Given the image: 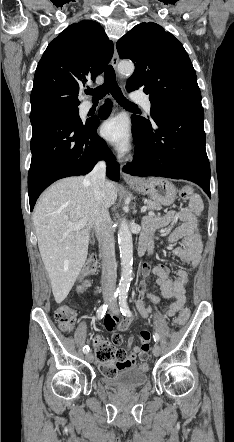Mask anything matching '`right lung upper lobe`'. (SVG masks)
I'll return each instance as SVG.
<instances>
[{
  "label": "right lung upper lobe",
  "instance_id": "cb5924a9",
  "mask_svg": "<svg viewBox=\"0 0 234 442\" xmlns=\"http://www.w3.org/2000/svg\"><path fill=\"white\" fill-rule=\"evenodd\" d=\"M113 43L91 20L74 23L46 48L34 75L31 115L80 104L79 91L94 82L111 60Z\"/></svg>",
  "mask_w": 234,
  "mask_h": 442
}]
</instances>
